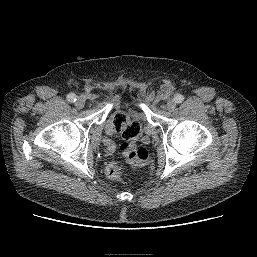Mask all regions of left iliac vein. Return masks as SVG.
<instances>
[{"mask_svg":"<svg viewBox=\"0 0 257 257\" xmlns=\"http://www.w3.org/2000/svg\"><path fill=\"white\" fill-rule=\"evenodd\" d=\"M176 107V103L173 99H169L167 102H166V109L168 111H172L174 110Z\"/></svg>","mask_w":257,"mask_h":257,"instance_id":"4c4485c4","label":"left iliac vein"}]
</instances>
